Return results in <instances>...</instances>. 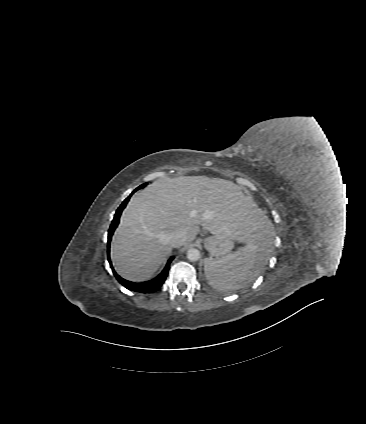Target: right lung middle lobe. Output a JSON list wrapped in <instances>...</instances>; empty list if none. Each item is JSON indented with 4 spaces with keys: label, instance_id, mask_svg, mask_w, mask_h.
Returning a JSON list of instances; mask_svg holds the SVG:
<instances>
[{
    "label": "right lung middle lobe",
    "instance_id": "dd1d6c3e",
    "mask_svg": "<svg viewBox=\"0 0 366 424\" xmlns=\"http://www.w3.org/2000/svg\"><path fill=\"white\" fill-rule=\"evenodd\" d=\"M146 185H147V183L142 184L141 186H139V187H138V190H139L140 188L145 187Z\"/></svg>",
    "mask_w": 366,
    "mask_h": 424
}]
</instances>
